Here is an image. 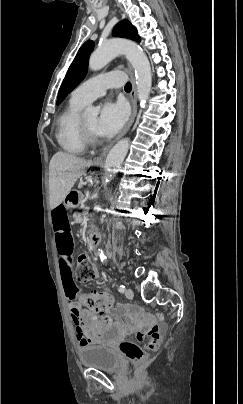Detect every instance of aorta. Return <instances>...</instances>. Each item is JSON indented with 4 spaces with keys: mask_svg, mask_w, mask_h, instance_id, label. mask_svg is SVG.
<instances>
[{
    "mask_svg": "<svg viewBox=\"0 0 243 404\" xmlns=\"http://www.w3.org/2000/svg\"><path fill=\"white\" fill-rule=\"evenodd\" d=\"M116 56H126V60L130 62L132 68H134L136 76V86H137V98L141 104L144 106L146 104L149 94L151 92L152 84V74L150 62L143 52L142 48L130 40H106L102 42L101 46L96 48L95 52L91 54L89 58V68L90 70H102L104 66H107L113 58ZM99 114L97 108H86L83 112V116L87 120H96ZM129 150V138H123L120 142H117L110 150L106 162H105V173L104 179L106 182L112 181V171L120 168L122 162H124Z\"/></svg>",
    "mask_w": 243,
    "mask_h": 404,
    "instance_id": "aorta-1",
    "label": "aorta"
}]
</instances>
